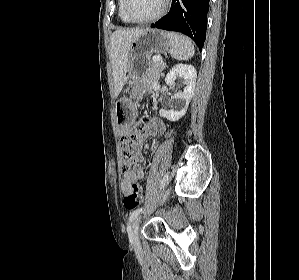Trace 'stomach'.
Listing matches in <instances>:
<instances>
[{"label":"stomach","mask_w":299,"mask_h":280,"mask_svg":"<svg viewBox=\"0 0 299 280\" xmlns=\"http://www.w3.org/2000/svg\"><path fill=\"white\" fill-rule=\"evenodd\" d=\"M169 46L167 33L158 29H146L130 43L126 72L129 95L121 98L116 107L120 125L130 124L135 118L139 101L147 90L144 78L152 54L165 53Z\"/></svg>","instance_id":"0dacf381"}]
</instances>
